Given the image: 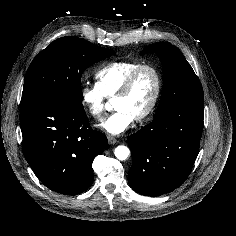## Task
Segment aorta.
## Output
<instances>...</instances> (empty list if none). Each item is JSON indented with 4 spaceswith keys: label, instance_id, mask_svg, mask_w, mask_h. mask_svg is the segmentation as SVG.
<instances>
[{
    "label": "aorta",
    "instance_id": "762f6f07",
    "mask_svg": "<svg viewBox=\"0 0 236 236\" xmlns=\"http://www.w3.org/2000/svg\"><path fill=\"white\" fill-rule=\"evenodd\" d=\"M114 154L117 157V159L125 160L128 158V156L130 154V150L128 147L120 145V146L116 147Z\"/></svg>",
    "mask_w": 236,
    "mask_h": 236
}]
</instances>
